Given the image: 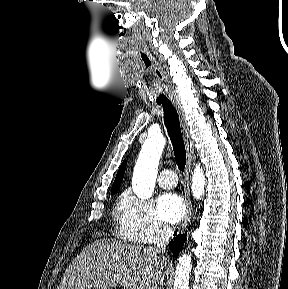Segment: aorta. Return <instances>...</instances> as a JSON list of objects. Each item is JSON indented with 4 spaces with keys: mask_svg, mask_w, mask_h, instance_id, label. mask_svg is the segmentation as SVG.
Returning <instances> with one entry per match:
<instances>
[{
    "mask_svg": "<svg viewBox=\"0 0 288 289\" xmlns=\"http://www.w3.org/2000/svg\"><path fill=\"white\" fill-rule=\"evenodd\" d=\"M162 135H150L145 140L137 162L135 164L132 188L141 199H149L153 195L158 174V164L165 146ZM205 175L200 165H197L192 174L191 190L193 196L200 200L204 195ZM192 258L190 254H183L178 259L173 289H189Z\"/></svg>",
    "mask_w": 288,
    "mask_h": 289,
    "instance_id": "762f6f07",
    "label": "aorta"
}]
</instances>
